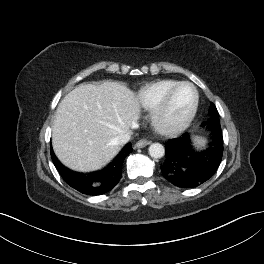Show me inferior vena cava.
Returning <instances> with one entry per match:
<instances>
[{
	"label": "inferior vena cava",
	"instance_id": "1",
	"mask_svg": "<svg viewBox=\"0 0 264 264\" xmlns=\"http://www.w3.org/2000/svg\"><path fill=\"white\" fill-rule=\"evenodd\" d=\"M130 138H131V132H125L118 135L114 141L118 145H124L130 140Z\"/></svg>",
	"mask_w": 264,
	"mask_h": 264
}]
</instances>
